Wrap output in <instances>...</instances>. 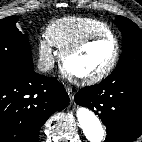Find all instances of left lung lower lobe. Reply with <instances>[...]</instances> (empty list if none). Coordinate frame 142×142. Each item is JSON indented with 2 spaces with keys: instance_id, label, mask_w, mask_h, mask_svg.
I'll use <instances>...</instances> for the list:
<instances>
[{
  "instance_id": "left-lung-lower-lobe-1",
  "label": "left lung lower lobe",
  "mask_w": 142,
  "mask_h": 142,
  "mask_svg": "<svg viewBox=\"0 0 142 142\" xmlns=\"http://www.w3.org/2000/svg\"><path fill=\"white\" fill-rule=\"evenodd\" d=\"M75 102L101 118L107 128L104 142H132L142 134V76L105 79L82 88Z\"/></svg>"
}]
</instances>
